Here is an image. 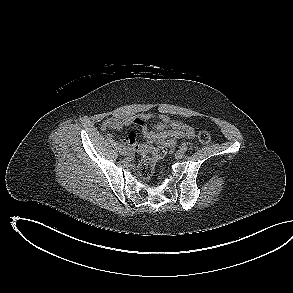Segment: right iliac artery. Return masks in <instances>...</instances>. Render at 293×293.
I'll return each instance as SVG.
<instances>
[{"label":"right iliac artery","instance_id":"right-iliac-artery-1","mask_svg":"<svg viewBox=\"0 0 293 293\" xmlns=\"http://www.w3.org/2000/svg\"><path fill=\"white\" fill-rule=\"evenodd\" d=\"M115 145H117L118 148H119V147H123V145L120 144V143H118V142H116Z\"/></svg>","mask_w":293,"mask_h":293}]
</instances>
